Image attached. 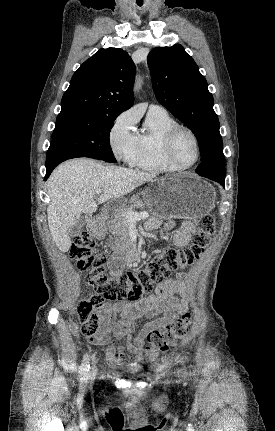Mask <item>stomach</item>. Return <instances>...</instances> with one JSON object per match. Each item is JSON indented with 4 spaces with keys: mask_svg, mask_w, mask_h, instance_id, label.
Wrapping results in <instances>:
<instances>
[{
    "mask_svg": "<svg viewBox=\"0 0 275 431\" xmlns=\"http://www.w3.org/2000/svg\"><path fill=\"white\" fill-rule=\"evenodd\" d=\"M151 211L163 218L197 219L209 214L215 205V191L208 183L185 175L167 176L158 181L155 190L142 192ZM125 201L117 202V206ZM111 221L95 229L99 235L110 229Z\"/></svg>",
    "mask_w": 275,
    "mask_h": 431,
    "instance_id": "stomach-1",
    "label": "stomach"
}]
</instances>
